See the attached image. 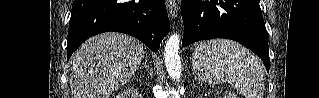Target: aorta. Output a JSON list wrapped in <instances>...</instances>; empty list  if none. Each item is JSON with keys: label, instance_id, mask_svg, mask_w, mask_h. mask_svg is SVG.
<instances>
[{"label": "aorta", "instance_id": "aorta-1", "mask_svg": "<svg viewBox=\"0 0 319 98\" xmlns=\"http://www.w3.org/2000/svg\"><path fill=\"white\" fill-rule=\"evenodd\" d=\"M180 37L173 34L164 46V61L169 76L175 81L179 80L182 73V65L178 54Z\"/></svg>", "mask_w": 319, "mask_h": 98}]
</instances>
